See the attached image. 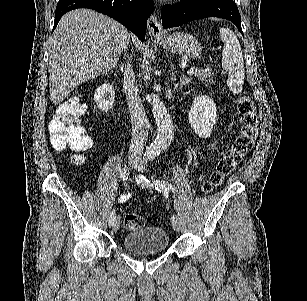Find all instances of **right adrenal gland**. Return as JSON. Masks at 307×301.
<instances>
[{"label":"right adrenal gland","mask_w":307,"mask_h":301,"mask_svg":"<svg viewBox=\"0 0 307 301\" xmlns=\"http://www.w3.org/2000/svg\"><path fill=\"white\" fill-rule=\"evenodd\" d=\"M120 68H121L122 72H124V70H125V64H120Z\"/></svg>","instance_id":"right-adrenal-gland-1"}]
</instances>
